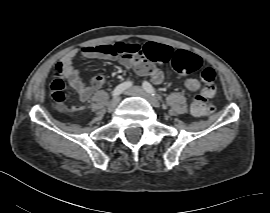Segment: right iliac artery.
Instances as JSON below:
<instances>
[{
	"label": "right iliac artery",
	"instance_id": "82829eb1",
	"mask_svg": "<svg viewBox=\"0 0 270 213\" xmlns=\"http://www.w3.org/2000/svg\"><path fill=\"white\" fill-rule=\"evenodd\" d=\"M132 86V82L131 81H126L123 82L121 84H119L112 92V97H117L118 95H120L121 93H123L126 89H128L129 87Z\"/></svg>",
	"mask_w": 270,
	"mask_h": 213
}]
</instances>
